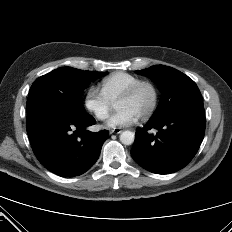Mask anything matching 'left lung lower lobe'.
<instances>
[{
	"label": "left lung lower lobe",
	"instance_id": "1",
	"mask_svg": "<svg viewBox=\"0 0 232 232\" xmlns=\"http://www.w3.org/2000/svg\"><path fill=\"white\" fill-rule=\"evenodd\" d=\"M150 129H156L151 134ZM205 133L202 98L183 103L135 133L131 155L144 169L169 174L184 168L197 153Z\"/></svg>",
	"mask_w": 232,
	"mask_h": 232
}]
</instances>
